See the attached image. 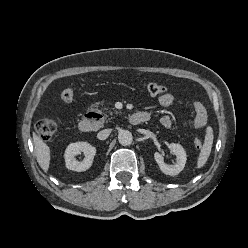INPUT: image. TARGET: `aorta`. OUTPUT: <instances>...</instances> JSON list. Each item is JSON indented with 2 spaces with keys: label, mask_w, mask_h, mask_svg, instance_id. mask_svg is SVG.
<instances>
[{
  "label": "aorta",
  "mask_w": 248,
  "mask_h": 248,
  "mask_svg": "<svg viewBox=\"0 0 248 248\" xmlns=\"http://www.w3.org/2000/svg\"><path fill=\"white\" fill-rule=\"evenodd\" d=\"M119 143L123 146H129L133 141L132 133L128 130H121L118 134Z\"/></svg>",
  "instance_id": "1"
}]
</instances>
